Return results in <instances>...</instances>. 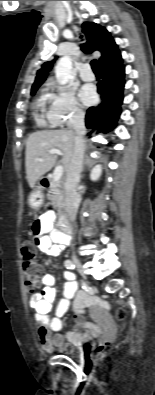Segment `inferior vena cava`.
<instances>
[{"instance_id": "1", "label": "inferior vena cava", "mask_w": 155, "mask_h": 395, "mask_svg": "<svg viewBox=\"0 0 155 395\" xmlns=\"http://www.w3.org/2000/svg\"><path fill=\"white\" fill-rule=\"evenodd\" d=\"M85 115L83 112H77L72 121L73 129L75 130V147L72 154L70 164L66 169L65 180V207L70 221H74L78 209L79 196L77 187L80 182V174L82 171L84 158V141L85 134Z\"/></svg>"}]
</instances>
